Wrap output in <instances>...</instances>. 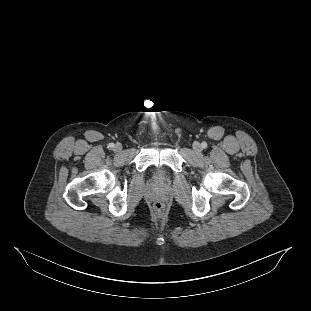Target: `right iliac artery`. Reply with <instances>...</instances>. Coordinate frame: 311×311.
Instances as JSON below:
<instances>
[{
    "label": "right iliac artery",
    "mask_w": 311,
    "mask_h": 311,
    "mask_svg": "<svg viewBox=\"0 0 311 311\" xmlns=\"http://www.w3.org/2000/svg\"><path fill=\"white\" fill-rule=\"evenodd\" d=\"M114 147V144L113 143H109L108 144V148L112 149Z\"/></svg>",
    "instance_id": "1"
}]
</instances>
